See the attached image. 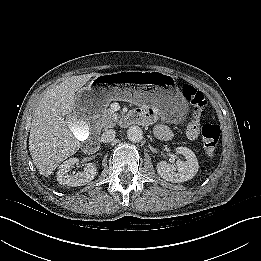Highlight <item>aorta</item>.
<instances>
[{
	"mask_svg": "<svg viewBox=\"0 0 261 261\" xmlns=\"http://www.w3.org/2000/svg\"><path fill=\"white\" fill-rule=\"evenodd\" d=\"M127 137L131 142H140L143 139V131L139 126H131L127 130Z\"/></svg>",
	"mask_w": 261,
	"mask_h": 261,
	"instance_id": "762f6f07",
	"label": "aorta"
}]
</instances>
